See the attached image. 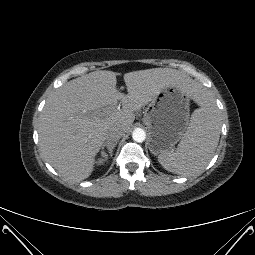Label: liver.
Wrapping results in <instances>:
<instances>
[{"instance_id": "liver-1", "label": "liver", "mask_w": 255, "mask_h": 255, "mask_svg": "<svg viewBox=\"0 0 255 255\" xmlns=\"http://www.w3.org/2000/svg\"><path fill=\"white\" fill-rule=\"evenodd\" d=\"M117 74L95 71L73 79L50 96L40 116L39 141L42 153L63 177L79 182L90 176L95 157L105 145L110 127L128 132L134 111L152 101L165 87L176 84L199 101L202 86L178 70L152 68L124 74L127 95L117 90ZM122 104L112 113L103 107Z\"/></svg>"}]
</instances>
